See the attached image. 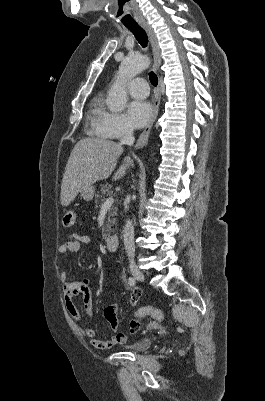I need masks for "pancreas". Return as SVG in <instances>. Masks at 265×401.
<instances>
[{"mask_svg": "<svg viewBox=\"0 0 265 401\" xmlns=\"http://www.w3.org/2000/svg\"><path fill=\"white\" fill-rule=\"evenodd\" d=\"M113 194L112 186L111 184H101L100 190H98L97 194H95V209L97 207H102L103 203H100V201H106L105 196H111ZM117 215V209L116 207H112L110 211H108V215L106 217L107 221H105V225L102 227V235L103 239H108L109 231H112L111 225H115L116 219H111V217H116Z\"/></svg>", "mask_w": 265, "mask_h": 401, "instance_id": "1", "label": "pancreas"}]
</instances>
